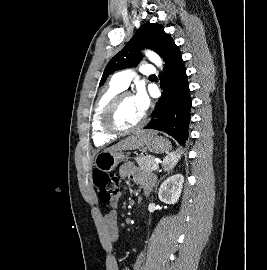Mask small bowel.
Masks as SVG:
<instances>
[{"label": "small bowel", "mask_w": 267, "mask_h": 270, "mask_svg": "<svg viewBox=\"0 0 267 270\" xmlns=\"http://www.w3.org/2000/svg\"><path fill=\"white\" fill-rule=\"evenodd\" d=\"M120 176L133 181L138 187L143 196H148L152 190L153 182L150 178L140 175L132 164H126L120 169ZM119 196H116L111 201L113 208L117 207ZM104 224L106 228L107 238L111 244L119 240L118 214L115 209H112L104 216ZM144 260V253H140L133 263V270H140ZM116 268H119L118 261L115 260Z\"/></svg>", "instance_id": "small-bowel-1"}]
</instances>
